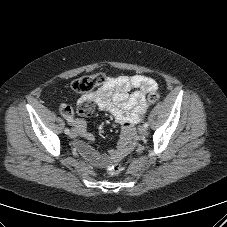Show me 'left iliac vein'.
I'll return each mask as SVG.
<instances>
[{"label": "left iliac vein", "mask_w": 227, "mask_h": 227, "mask_svg": "<svg viewBox=\"0 0 227 227\" xmlns=\"http://www.w3.org/2000/svg\"><path fill=\"white\" fill-rule=\"evenodd\" d=\"M139 133L141 135H146L147 134V128L144 126L139 127Z\"/></svg>", "instance_id": "obj_1"}]
</instances>
